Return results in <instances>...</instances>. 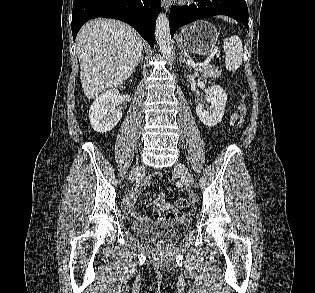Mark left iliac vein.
<instances>
[{
    "label": "left iliac vein",
    "instance_id": "left-iliac-vein-1",
    "mask_svg": "<svg viewBox=\"0 0 315 293\" xmlns=\"http://www.w3.org/2000/svg\"><path fill=\"white\" fill-rule=\"evenodd\" d=\"M175 171L179 174L180 179L185 184V186L191 189L193 187V179L186 166H184L182 163H177L175 166Z\"/></svg>",
    "mask_w": 315,
    "mask_h": 293
}]
</instances>
